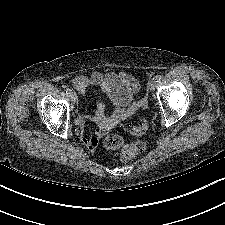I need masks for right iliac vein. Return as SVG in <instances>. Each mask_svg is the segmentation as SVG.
<instances>
[{"mask_svg":"<svg viewBox=\"0 0 225 225\" xmlns=\"http://www.w3.org/2000/svg\"><path fill=\"white\" fill-rule=\"evenodd\" d=\"M70 100L73 104L77 103L78 102V96L76 93H73L70 95Z\"/></svg>","mask_w":225,"mask_h":225,"instance_id":"obj_1","label":"right iliac vein"}]
</instances>
